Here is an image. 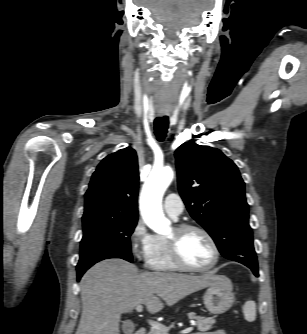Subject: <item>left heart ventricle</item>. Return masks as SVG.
I'll return each mask as SVG.
<instances>
[{
  "label": "left heart ventricle",
  "instance_id": "1",
  "mask_svg": "<svg viewBox=\"0 0 307 334\" xmlns=\"http://www.w3.org/2000/svg\"><path fill=\"white\" fill-rule=\"evenodd\" d=\"M173 229L168 238L175 236ZM180 251L187 263L192 266H206L213 260L214 253L207 238L198 231H188L180 237Z\"/></svg>",
  "mask_w": 307,
  "mask_h": 334
}]
</instances>
